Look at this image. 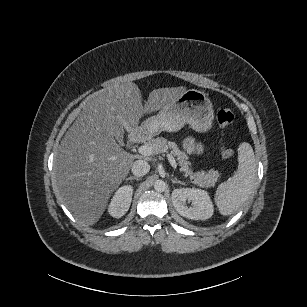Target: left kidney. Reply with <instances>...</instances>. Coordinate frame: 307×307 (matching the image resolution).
<instances>
[{"label": "left kidney", "instance_id": "5707ae66", "mask_svg": "<svg viewBox=\"0 0 307 307\" xmlns=\"http://www.w3.org/2000/svg\"><path fill=\"white\" fill-rule=\"evenodd\" d=\"M187 199L192 201V204L195 205L194 208L187 207ZM172 202L179 214L193 220L209 219L215 212L209 191L201 188H176L172 191Z\"/></svg>", "mask_w": 307, "mask_h": 307}]
</instances>
